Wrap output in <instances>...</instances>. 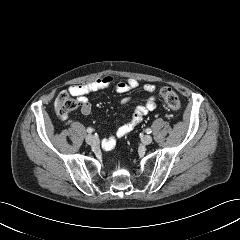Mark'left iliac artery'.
<instances>
[{"instance_id":"left-iliac-artery-1","label":"left iliac artery","mask_w":240,"mask_h":240,"mask_svg":"<svg viewBox=\"0 0 240 240\" xmlns=\"http://www.w3.org/2000/svg\"><path fill=\"white\" fill-rule=\"evenodd\" d=\"M151 132H152V130H151L150 128H147V129H146V133H147V134H150Z\"/></svg>"}]
</instances>
